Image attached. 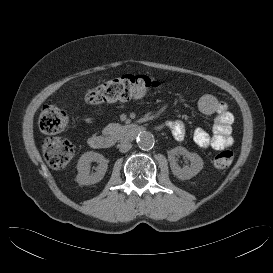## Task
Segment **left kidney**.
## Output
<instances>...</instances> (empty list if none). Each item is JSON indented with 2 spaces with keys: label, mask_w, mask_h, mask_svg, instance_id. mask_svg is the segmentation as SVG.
<instances>
[{
  "label": "left kidney",
  "mask_w": 273,
  "mask_h": 273,
  "mask_svg": "<svg viewBox=\"0 0 273 273\" xmlns=\"http://www.w3.org/2000/svg\"><path fill=\"white\" fill-rule=\"evenodd\" d=\"M178 155H183L188 158L191 165L181 168L176 162V156ZM169 160L171 171L181 180H188L197 175L202 170L204 164L202 158L197 153L189 152L181 146L169 152Z\"/></svg>",
  "instance_id": "1"
}]
</instances>
